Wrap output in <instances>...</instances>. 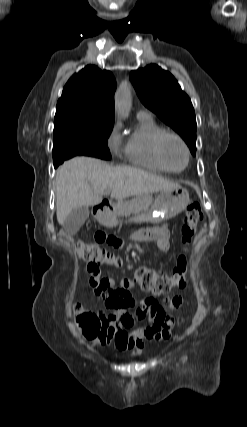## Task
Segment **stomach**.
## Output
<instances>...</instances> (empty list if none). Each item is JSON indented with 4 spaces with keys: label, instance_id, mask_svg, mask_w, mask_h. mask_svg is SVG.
Here are the masks:
<instances>
[{
    "label": "stomach",
    "instance_id": "obj_1",
    "mask_svg": "<svg viewBox=\"0 0 247 427\" xmlns=\"http://www.w3.org/2000/svg\"><path fill=\"white\" fill-rule=\"evenodd\" d=\"M190 202L188 191L181 187L161 191L148 211L137 218V221L161 222L175 217L186 209ZM104 226L114 227L118 221L114 213L102 211L96 215Z\"/></svg>",
    "mask_w": 247,
    "mask_h": 427
}]
</instances>
